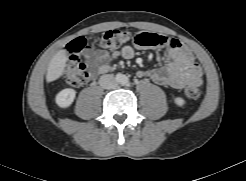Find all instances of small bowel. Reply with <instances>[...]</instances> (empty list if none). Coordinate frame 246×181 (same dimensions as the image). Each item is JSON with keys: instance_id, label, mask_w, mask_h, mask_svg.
Listing matches in <instances>:
<instances>
[{"instance_id": "small-bowel-1", "label": "small bowel", "mask_w": 246, "mask_h": 181, "mask_svg": "<svg viewBox=\"0 0 246 181\" xmlns=\"http://www.w3.org/2000/svg\"><path fill=\"white\" fill-rule=\"evenodd\" d=\"M170 62L159 69L140 70L139 77H147L156 84L182 89L186 84H202V69L196 62L190 49L179 40L167 47ZM134 48L125 45L120 51L108 52L101 49L86 47L83 55L95 74H103L110 70L112 62L118 57L131 59L134 57Z\"/></svg>"}]
</instances>
